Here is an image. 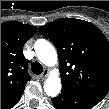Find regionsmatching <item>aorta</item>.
<instances>
[{"mask_svg":"<svg viewBox=\"0 0 109 109\" xmlns=\"http://www.w3.org/2000/svg\"><path fill=\"white\" fill-rule=\"evenodd\" d=\"M35 51L38 59L46 66L57 64V52L45 39H39L35 43ZM44 91L50 97H56L61 91V79L57 72L52 73L44 83Z\"/></svg>","mask_w":109,"mask_h":109,"instance_id":"obj_1","label":"aorta"}]
</instances>
